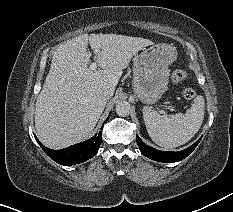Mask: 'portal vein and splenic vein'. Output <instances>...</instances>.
<instances>
[{
  "instance_id": "18ae733b",
  "label": "portal vein and splenic vein",
  "mask_w": 233,
  "mask_h": 212,
  "mask_svg": "<svg viewBox=\"0 0 233 212\" xmlns=\"http://www.w3.org/2000/svg\"><path fill=\"white\" fill-rule=\"evenodd\" d=\"M97 68V64L95 62H93L91 65H90V69L91 70H96Z\"/></svg>"
}]
</instances>
